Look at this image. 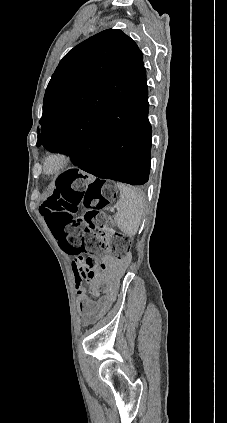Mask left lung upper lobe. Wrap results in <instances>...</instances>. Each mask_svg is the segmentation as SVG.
Listing matches in <instances>:
<instances>
[{"instance_id":"obj_1","label":"left lung upper lobe","mask_w":227,"mask_h":423,"mask_svg":"<svg viewBox=\"0 0 227 423\" xmlns=\"http://www.w3.org/2000/svg\"><path fill=\"white\" fill-rule=\"evenodd\" d=\"M148 107L142 52L122 31H102L70 50L52 75L37 146L82 136L108 112L142 113Z\"/></svg>"}]
</instances>
